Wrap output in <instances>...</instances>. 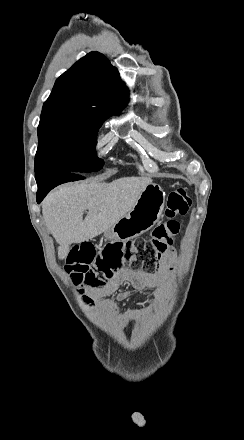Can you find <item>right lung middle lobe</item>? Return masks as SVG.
Instances as JSON below:
<instances>
[{
	"instance_id": "1",
	"label": "right lung middle lobe",
	"mask_w": 244,
	"mask_h": 440,
	"mask_svg": "<svg viewBox=\"0 0 244 440\" xmlns=\"http://www.w3.org/2000/svg\"><path fill=\"white\" fill-rule=\"evenodd\" d=\"M118 112L70 104H44L38 126L35 173L70 171L89 173L100 170L103 160L96 156L98 130Z\"/></svg>"
}]
</instances>
